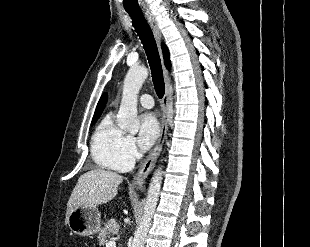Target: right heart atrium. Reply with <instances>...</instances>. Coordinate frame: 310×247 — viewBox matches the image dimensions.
I'll return each mask as SVG.
<instances>
[{
	"label": "right heart atrium",
	"mask_w": 310,
	"mask_h": 247,
	"mask_svg": "<svg viewBox=\"0 0 310 247\" xmlns=\"http://www.w3.org/2000/svg\"><path fill=\"white\" fill-rule=\"evenodd\" d=\"M136 140L131 135H124L118 148L115 166L118 170L128 169L139 157Z\"/></svg>",
	"instance_id": "d8ad5b80"
}]
</instances>
